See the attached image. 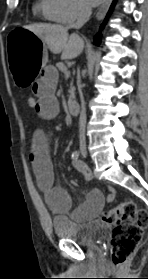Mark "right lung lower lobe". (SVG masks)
<instances>
[{
    "instance_id": "right-lung-lower-lobe-1",
    "label": "right lung lower lobe",
    "mask_w": 148,
    "mask_h": 279,
    "mask_svg": "<svg viewBox=\"0 0 148 279\" xmlns=\"http://www.w3.org/2000/svg\"><path fill=\"white\" fill-rule=\"evenodd\" d=\"M115 3H116V0L113 1L112 5H111V7H110V9H109V12H108L107 15H106V18H105V20H104V23H103L102 26L100 27V30H102V27H104V24L106 23V21H107L109 15L111 14V12H112V10H113V8H114V6H115ZM94 39H95L96 42H100V40H101V34L98 33V34L95 36Z\"/></svg>"
}]
</instances>
